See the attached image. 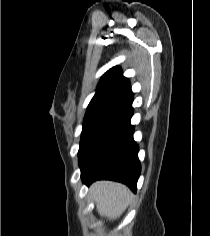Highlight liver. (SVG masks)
<instances>
[{"instance_id": "6515ba94", "label": "liver", "mask_w": 210, "mask_h": 236, "mask_svg": "<svg viewBox=\"0 0 210 236\" xmlns=\"http://www.w3.org/2000/svg\"><path fill=\"white\" fill-rule=\"evenodd\" d=\"M96 210L109 220L119 218L130 204L132 194L123 184L112 181H97L90 187Z\"/></svg>"}]
</instances>
